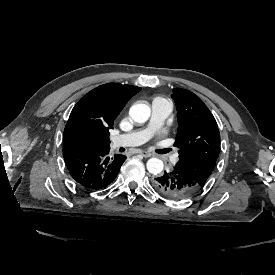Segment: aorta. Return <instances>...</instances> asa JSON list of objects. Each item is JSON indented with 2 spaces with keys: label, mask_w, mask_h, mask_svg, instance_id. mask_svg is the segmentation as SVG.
<instances>
[{
  "label": "aorta",
  "mask_w": 275,
  "mask_h": 275,
  "mask_svg": "<svg viewBox=\"0 0 275 275\" xmlns=\"http://www.w3.org/2000/svg\"><path fill=\"white\" fill-rule=\"evenodd\" d=\"M129 115L133 121L145 123L151 115V109L147 104L135 103L130 107ZM146 166L149 173L158 175L163 171L164 164L163 161L158 158H150Z\"/></svg>",
  "instance_id": "762f6f07"
}]
</instances>
